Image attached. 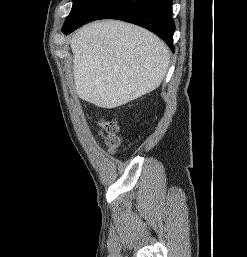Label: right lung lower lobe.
I'll list each match as a JSON object with an SVG mask.
<instances>
[{"mask_svg": "<svg viewBox=\"0 0 247 257\" xmlns=\"http://www.w3.org/2000/svg\"><path fill=\"white\" fill-rule=\"evenodd\" d=\"M98 19H118L142 26L161 37L174 52L172 0H93L78 20L62 27V32L69 34Z\"/></svg>", "mask_w": 247, "mask_h": 257, "instance_id": "obj_1", "label": "right lung lower lobe"}]
</instances>
